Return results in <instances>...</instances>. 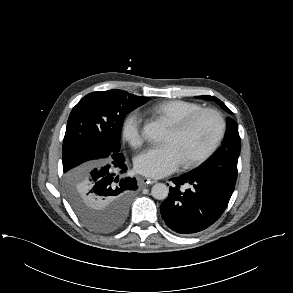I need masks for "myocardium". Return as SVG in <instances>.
I'll return each mask as SVG.
<instances>
[{
    "label": "myocardium",
    "instance_id": "f54148a6",
    "mask_svg": "<svg viewBox=\"0 0 293 293\" xmlns=\"http://www.w3.org/2000/svg\"><path fill=\"white\" fill-rule=\"evenodd\" d=\"M203 114L214 115L218 120L219 128H218L217 134L214 137L213 141L211 142L209 147L201 155H199L198 157H196L194 159L184 161V165L187 168L197 167V166L203 164L205 161H207L213 155V153L216 151V149L218 148L219 144L221 143V141L225 135L226 120H225L223 114L217 109L201 108V109H198V110L186 115L185 117L181 118L177 122L171 124V129L175 133L180 134V133L184 132L199 116H201Z\"/></svg>",
    "mask_w": 293,
    "mask_h": 293
}]
</instances>
